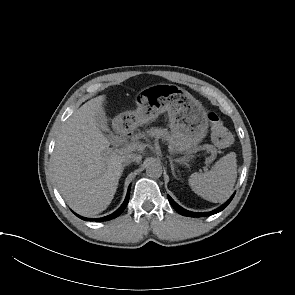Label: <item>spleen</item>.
I'll list each match as a JSON object with an SVG mask.
<instances>
[{
  "instance_id": "3e777b00",
  "label": "spleen",
  "mask_w": 295,
  "mask_h": 295,
  "mask_svg": "<svg viewBox=\"0 0 295 295\" xmlns=\"http://www.w3.org/2000/svg\"><path fill=\"white\" fill-rule=\"evenodd\" d=\"M237 178L236 154L220 158L206 173H193L189 178L191 189L213 203L225 202L231 195Z\"/></svg>"
}]
</instances>
